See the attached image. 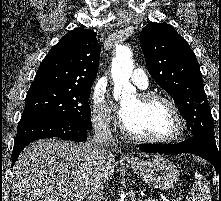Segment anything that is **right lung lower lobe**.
<instances>
[{
  "label": "right lung lower lobe",
  "mask_w": 221,
  "mask_h": 201,
  "mask_svg": "<svg viewBox=\"0 0 221 201\" xmlns=\"http://www.w3.org/2000/svg\"><path fill=\"white\" fill-rule=\"evenodd\" d=\"M91 127L68 119L53 117H30L21 119L12 152V166L21 151L31 142L43 138L58 137L72 141H85Z\"/></svg>",
  "instance_id": "obj_1"
}]
</instances>
